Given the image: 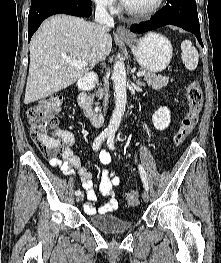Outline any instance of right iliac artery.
Wrapping results in <instances>:
<instances>
[{
	"mask_svg": "<svg viewBox=\"0 0 221 263\" xmlns=\"http://www.w3.org/2000/svg\"><path fill=\"white\" fill-rule=\"evenodd\" d=\"M108 136V133L106 132H102L95 140H94V143H93V150L94 151H98L102 142L104 141V139ZM81 192L80 190H77L75 191V195H80Z\"/></svg>",
	"mask_w": 221,
	"mask_h": 263,
	"instance_id": "obj_1",
	"label": "right iliac artery"
}]
</instances>
